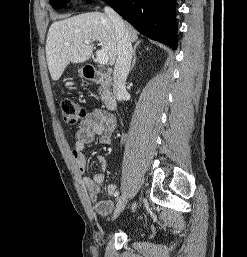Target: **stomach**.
Returning <instances> with one entry per match:
<instances>
[{
	"label": "stomach",
	"mask_w": 247,
	"mask_h": 257,
	"mask_svg": "<svg viewBox=\"0 0 247 257\" xmlns=\"http://www.w3.org/2000/svg\"><path fill=\"white\" fill-rule=\"evenodd\" d=\"M79 73H80L81 76H83V70L82 69L79 71Z\"/></svg>",
	"instance_id": "1"
}]
</instances>
